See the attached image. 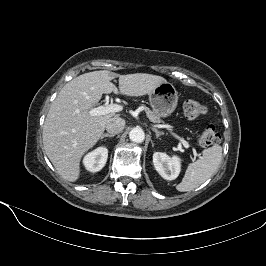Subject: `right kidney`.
Wrapping results in <instances>:
<instances>
[{"label": "right kidney", "instance_id": "obj_1", "mask_svg": "<svg viewBox=\"0 0 266 266\" xmlns=\"http://www.w3.org/2000/svg\"><path fill=\"white\" fill-rule=\"evenodd\" d=\"M108 150L106 147H98L88 153L83 160L85 168L90 172L100 171L106 164Z\"/></svg>", "mask_w": 266, "mask_h": 266}]
</instances>
